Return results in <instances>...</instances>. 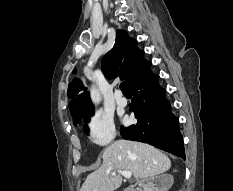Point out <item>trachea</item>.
Listing matches in <instances>:
<instances>
[{"label":"trachea","mask_w":233,"mask_h":191,"mask_svg":"<svg viewBox=\"0 0 233 191\" xmlns=\"http://www.w3.org/2000/svg\"><path fill=\"white\" fill-rule=\"evenodd\" d=\"M120 89H121V91H122L123 94H125V93H130L125 82H122V83L120 84Z\"/></svg>","instance_id":"trachea-1"}]
</instances>
